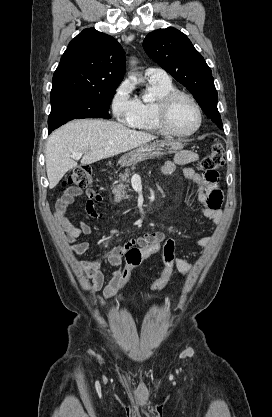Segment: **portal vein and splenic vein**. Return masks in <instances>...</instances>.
<instances>
[{
  "instance_id": "1",
  "label": "portal vein and splenic vein",
  "mask_w": 272,
  "mask_h": 417,
  "mask_svg": "<svg viewBox=\"0 0 272 417\" xmlns=\"http://www.w3.org/2000/svg\"><path fill=\"white\" fill-rule=\"evenodd\" d=\"M83 152H76V153H72L71 157L75 160H79L82 156Z\"/></svg>"
}]
</instances>
